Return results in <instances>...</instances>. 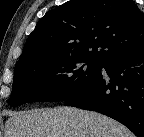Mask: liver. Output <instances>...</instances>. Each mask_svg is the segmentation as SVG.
<instances>
[{"mask_svg":"<svg viewBox=\"0 0 144 137\" xmlns=\"http://www.w3.org/2000/svg\"><path fill=\"white\" fill-rule=\"evenodd\" d=\"M5 137H134L121 123L75 107L10 113Z\"/></svg>","mask_w":144,"mask_h":137,"instance_id":"6515ba94","label":"liver"}]
</instances>
